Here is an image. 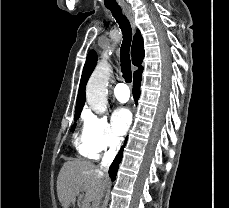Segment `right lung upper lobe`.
<instances>
[{
  "mask_svg": "<svg viewBox=\"0 0 229 208\" xmlns=\"http://www.w3.org/2000/svg\"><path fill=\"white\" fill-rule=\"evenodd\" d=\"M131 55H132L133 64L139 67V69L134 72V76H136L137 74L141 73L143 70L141 64L144 58L143 38L139 30H137L133 39ZM96 63H97V54L94 50H91L87 55L86 63L84 65L83 72H82V77H81L78 96H77L76 108H75V119L79 118L82 108L84 106L86 84L91 73L93 72L96 66Z\"/></svg>",
  "mask_w": 229,
  "mask_h": 208,
  "instance_id": "cb5924a9",
  "label": "right lung upper lobe"
}]
</instances>
